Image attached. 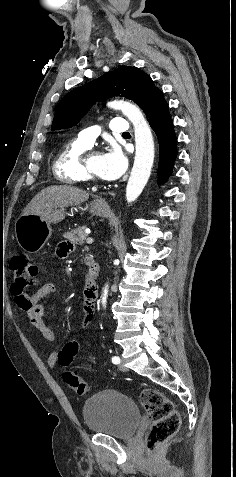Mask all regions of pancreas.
<instances>
[{"label":"pancreas","mask_w":236,"mask_h":477,"mask_svg":"<svg viewBox=\"0 0 236 477\" xmlns=\"http://www.w3.org/2000/svg\"><path fill=\"white\" fill-rule=\"evenodd\" d=\"M86 226H81L64 234V237L74 244L82 245L86 239Z\"/></svg>","instance_id":"pancreas-1"}]
</instances>
